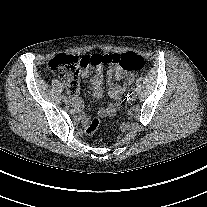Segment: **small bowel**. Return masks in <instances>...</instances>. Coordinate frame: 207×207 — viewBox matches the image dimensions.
Wrapping results in <instances>:
<instances>
[{"instance_id":"obj_1","label":"small bowel","mask_w":207,"mask_h":207,"mask_svg":"<svg viewBox=\"0 0 207 207\" xmlns=\"http://www.w3.org/2000/svg\"><path fill=\"white\" fill-rule=\"evenodd\" d=\"M81 75L83 78H91L93 96L98 100L102 99L104 83L103 67L97 66L94 69H85L82 71ZM107 79L110 86L109 96L113 102L98 110V116L101 118L113 116L119 110L127 85L132 83L134 75L122 70L119 66H111L107 70ZM70 102L74 110L79 113L82 124L86 127L93 119L81 113L83 103L78 94V88L71 92Z\"/></svg>"}]
</instances>
